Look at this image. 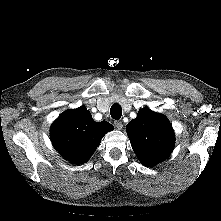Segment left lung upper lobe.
I'll return each instance as SVG.
<instances>
[{"label": "left lung upper lobe", "mask_w": 221, "mask_h": 221, "mask_svg": "<svg viewBox=\"0 0 221 221\" xmlns=\"http://www.w3.org/2000/svg\"><path fill=\"white\" fill-rule=\"evenodd\" d=\"M132 148L147 167L165 160L171 154L175 135L170 121L150 109H140L138 115L126 126Z\"/></svg>", "instance_id": "5c2ea615"}]
</instances>
